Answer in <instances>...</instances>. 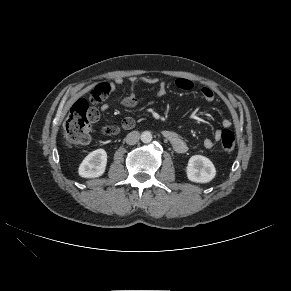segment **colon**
<instances>
[{
	"instance_id": "obj_1",
	"label": "colon",
	"mask_w": 291,
	"mask_h": 291,
	"mask_svg": "<svg viewBox=\"0 0 291 291\" xmlns=\"http://www.w3.org/2000/svg\"><path fill=\"white\" fill-rule=\"evenodd\" d=\"M107 89L103 86L95 87L91 92L90 102L93 104L101 102ZM94 118L93 107L85 99L76 101L70 109L69 115L64 122L63 135L67 145L87 144L90 140V125ZM134 126L132 118H125L122 121V128L130 129ZM120 128L117 126H109L104 128L106 135H115L119 132ZM221 146L224 151L231 152L235 148V136L229 129H224L221 132Z\"/></svg>"
}]
</instances>
